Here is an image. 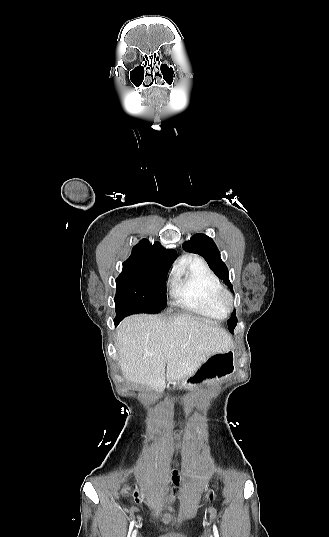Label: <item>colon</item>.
<instances>
[{"label": "colon", "instance_id": "1", "mask_svg": "<svg viewBox=\"0 0 329 537\" xmlns=\"http://www.w3.org/2000/svg\"><path fill=\"white\" fill-rule=\"evenodd\" d=\"M215 491L214 490H210L208 494L205 495V500H212L214 497H215Z\"/></svg>", "mask_w": 329, "mask_h": 537}]
</instances>
